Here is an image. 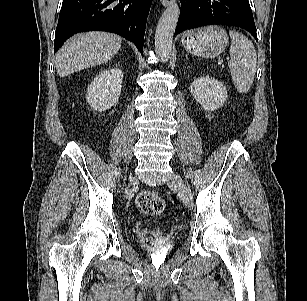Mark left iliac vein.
Here are the masks:
<instances>
[{"label":"left iliac vein","mask_w":307,"mask_h":301,"mask_svg":"<svg viewBox=\"0 0 307 301\" xmlns=\"http://www.w3.org/2000/svg\"><path fill=\"white\" fill-rule=\"evenodd\" d=\"M168 184L170 186L175 187L177 189L178 193L182 197L183 202L188 207H192L193 206V200H192L191 193H190L188 187L186 186V184L184 183V181L182 180V178L178 174L174 173L169 178Z\"/></svg>","instance_id":"obj_1"}]
</instances>
